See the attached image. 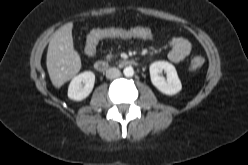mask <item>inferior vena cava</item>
<instances>
[{
  "label": "inferior vena cava",
  "instance_id": "1",
  "mask_svg": "<svg viewBox=\"0 0 248 165\" xmlns=\"http://www.w3.org/2000/svg\"><path fill=\"white\" fill-rule=\"evenodd\" d=\"M120 75H121V72L117 68H109L106 71V77L108 79H115V78H118Z\"/></svg>",
  "mask_w": 248,
  "mask_h": 165
}]
</instances>
